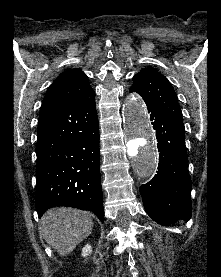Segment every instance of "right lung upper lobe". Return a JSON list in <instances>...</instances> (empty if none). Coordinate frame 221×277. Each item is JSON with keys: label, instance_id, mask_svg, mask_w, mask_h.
Listing matches in <instances>:
<instances>
[{"label": "right lung upper lobe", "instance_id": "obj_1", "mask_svg": "<svg viewBox=\"0 0 221 277\" xmlns=\"http://www.w3.org/2000/svg\"><path fill=\"white\" fill-rule=\"evenodd\" d=\"M92 91L88 77L80 69H67L50 85L42 106L72 102Z\"/></svg>", "mask_w": 221, "mask_h": 277}]
</instances>
